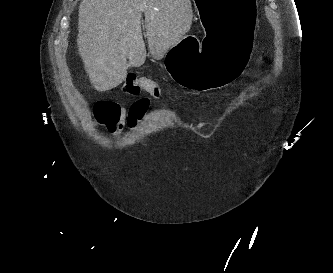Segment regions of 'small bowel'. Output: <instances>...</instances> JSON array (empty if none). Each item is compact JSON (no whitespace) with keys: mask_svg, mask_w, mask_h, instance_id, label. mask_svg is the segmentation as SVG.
I'll use <instances>...</instances> for the list:
<instances>
[{"mask_svg":"<svg viewBox=\"0 0 333 273\" xmlns=\"http://www.w3.org/2000/svg\"><path fill=\"white\" fill-rule=\"evenodd\" d=\"M151 102L150 96H142L141 101L135 102L129 110H127L125 107H120V114L123 116V122L117 126V128L113 129V132L116 134H120V132L123 129L124 124H126L129 128L135 129L144 116L147 106V103ZM203 124H200V127H202Z\"/></svg>","mask_w":333,"mask_h":273,"instance_id":"obj_1","label":"small bowel"}]
</instances>
